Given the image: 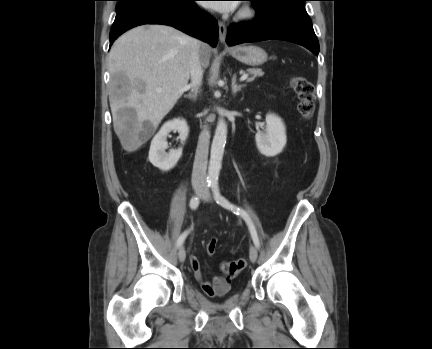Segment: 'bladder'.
I'll use <instances>...</instances> for the list:
<instances>
[{
  "label": "bladder",
  "instance_id": "obj_1",
  "mask_svg": "<svg viewBox=\"0 0 432 349\" xmlns=\"http://www.w3.org/2000/svg\"><path fill=\"white\" fill-rule=\"evenodd\" d=\"M200 297L204 300V302H206L208 305L213 306L215 308H220L222 307V305L230 300L233 299L235 297V294H230L229 292L226 293L225 295L221 296L218 299V302H213L210 298H207L206 296H204L203 294H200Z\"/></svg>",
  "mask_w": 432,
  "mask_h": 349
}]
</instances>
